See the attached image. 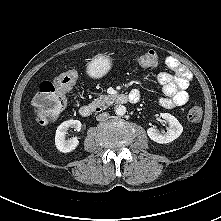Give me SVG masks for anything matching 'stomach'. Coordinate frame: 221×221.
Returning <instances> with one entry per match:
<instances>
[{
  "label": "stomach",
  "instance_id": "0dacf381",
  "mask_svg": "<svg viewBox=\"0 0 221 221\" xmlns=\"http://www.w3.org/2000/svg\"><path fill=\"white\" fill-rule=\"evenodd\" d=\"M112 61L108 54H97L87 65V73L93 78L105 76L111 69Z\"/></svg>",
  "mask_w": 221,
  "mask_h": 221
}]
</instances>
